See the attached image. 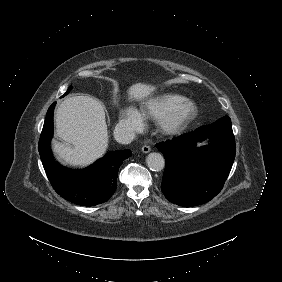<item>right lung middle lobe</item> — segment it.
Masks as SVG:
<instances>
[{
	"label": "right lung middle lobe",
	"mask_w": 282,
	"mask_h": 282,
	"mask_svg": "<svg viewBox=\"0 0 282 282\" xmlns=\"http://www.w3.org/2000/svg\"><path fill=\"white\" fill-rule=\"evenodd\" d=\"M72 89V86L69 87V89L67 90L66 94Z\"/></svg>",
	"instance_id": "dd1d6c3e"
}]
</instances>
